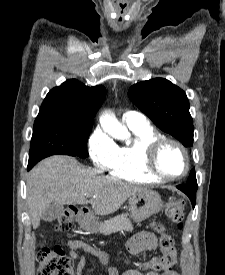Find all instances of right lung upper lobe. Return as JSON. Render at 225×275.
<instances>
[{
    "label": "right lung upper lobe",
    "instance_id": "right-lung-upper-lobe-1",
    "mask_svg": "<svg viewBox=\"0 0 225 275\" xmlns=\"http://www.w3.org/2000/svg\"><path fill=\"white\" fill-rule=\"evenodd\" d=\"M105 96L102 85L88 87L76 79L67 80L47 94L36 120L67 118L94 122Z\"/></svg>",
    "mask_w": 225,
    "mask_h": 275
}]
</instances>
